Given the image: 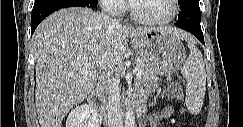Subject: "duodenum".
<instances>
[{
    "label": "duodenum",
    "instance_id": "410a0bca",
    "mask_svg": "<svg viewBox=\"0 0 243 127\" xmlns=\"http://www.w3.org/2000/svg\"><path fill=\"white\" fill-rule=\"evenodd\" d=\"M102 90L103 86L98 85L96 89L88 96L87 102L92 107H99L102 103ZM136 114H142L145 110V101L143 97L137 98L131 105Z\"/></svg>",
    "mask_w": 243,
    "mask_h": 127
}]
</instances>
